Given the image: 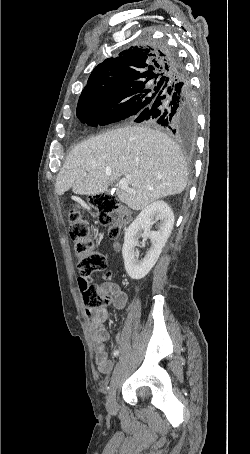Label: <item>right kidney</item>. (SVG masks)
<instances>
[{
  "mask_svg": "<svg viewBox=\"0 0 250 454\" xmlns=\"http://www.w3.org/2000/svg\"><path fill=\"white\" fill-rule=\"evenodd\" d=\"M159 221L157 231H151L152 225ZM174 225V214L164 201H154L146 206L127 228L122 255L127 274L132 279H142L156 264L162 248L165 246ZM149 237L152 246L144 259L137 263L135 247L138 245L139 231Z\"/></svg>",
  "mask_w": 250,
  "mask_h": 454,
  "instance_id": "ca27d5eb",
  "label": "right kidney"
}]
</instances>
